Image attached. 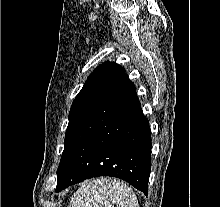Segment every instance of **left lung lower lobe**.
<instances>
[{"label":"left lung lower lobe","mask_w":220,"mask_h":207,"mask_svg":"<svg viewBox=\"0 0 220 207\" xmlns=\"http://www.w3.org/2000/svg\"><path fill=\"white\" fill-rule=\"evenodd\" d=\"M150 171L149 122L124 73L65 145L55 191L92 177L113 176L147 195Z\"/></svg>","instance_id":"0a47b994"}]
</instances>
